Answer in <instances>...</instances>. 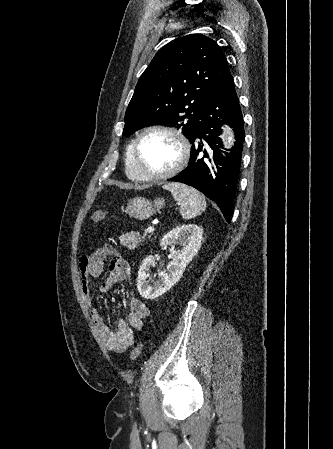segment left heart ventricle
<instances>
[{
    "label": "left heart ventricle",
    "instance_id": "b2bd125f",
    "mask_svg": "<svg viewBox=\"0 0 333 449\" xmlns=\"http://www.w3.org/2000/svg\"><path fill=\"white\" fill-rule=\"evenodd\" d=\"M179 158V146L169 135L152 132L140 144V165L147 174H157L172 168Z\"/></svg>",
    "mask_w": 333,
    "mask_h": 449
}]
</instances>
